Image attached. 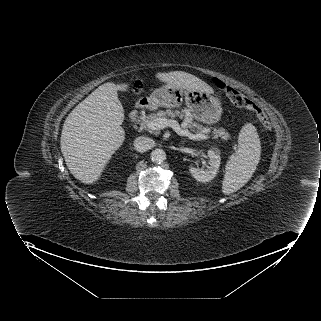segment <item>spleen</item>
<instances>
[{
	"mask_svg": "<svg viewBox=\"0 0 321 321\" xmlns=\"http://www.w3.org/2000/svg\"><path fill=\"white\" fill-rule=\"evenodd\" d=\"M261 155L260 138L256 128L245 124L238 137V150L225 167L222 192L230 195L243 187L252 177Z\"/></svg>",
	"mask_w": 321,
	"mask_h": 321,
	"instance_id": "obj_1",
	"label": "spleen"
}]
</instances>
